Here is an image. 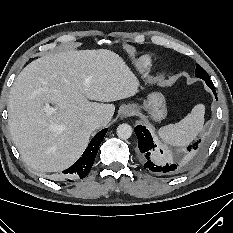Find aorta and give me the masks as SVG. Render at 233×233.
Listing matches in <instances>:
<instances>
[{
	"instance_id": "1",
	"label": "aorta",
	"mask_w": 233,
	"mask_h": 233,
	"mask_svg": "<svg viewBox=\"0 0 233 233\" xmlns=\"http://www.w3.org/2000/svg\"><path fill=\"white\" fill-rule=\"evenodd\" d=\"M132 135V128L128 124H120L117 127V136L120 139H128Z\"/></svg>"
}]
</instances>
